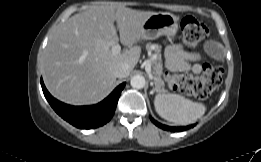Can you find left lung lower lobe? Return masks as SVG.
<instances>
[{
    "label": "left lung lower lobe",
    "instance_id": "obj_1",
    "mask_svg": "<svg viewBox=\"0 0 261 162\" xmlns=\"http://www.w3.org/2000/svg\"><path fill=\"white\" fill-rule=\"evenodd\" d=\"M150 120L158 127H160L163 130H167V131H173V132H179V131H183V130H187L190 127H194L195 125H191V126H186V127H171V126H166L163 125L159 122H157L156 120H154L152 117H150Z\"/></svg>",
    "mask_w": 261,
    "mask_h": 162
}]
</instances>
